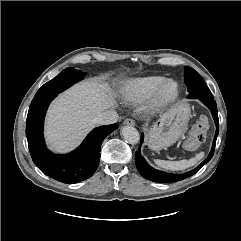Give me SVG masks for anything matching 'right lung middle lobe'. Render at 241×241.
<instances>
[{"label":"right lung middle lobe","instance_id":"right-lung-middle-lobe-1","mask_svg":"<svg viewBox=\"0 0 241 241\" xmlns=\"http://www.w3.org/2000/svg\"><path fill=\"white\" fill-rule=\"evenodd\" d=\"M84 73L72 67L64 69L58 76L45 83L36 93L34 98L57 95L83 78Z\"/></svg>","mask_w":241,"mask_h":241}]
</instances>
